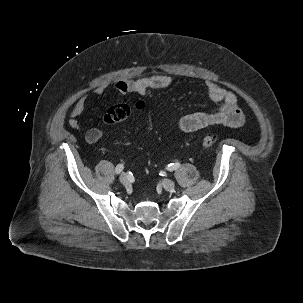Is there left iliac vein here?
<instances>
[{"label": "left iliac vein", "instance_id": "1", "mask_svg": "<svg viewBox=\"0 0 303 303\" xmlns=\"http://www.w3.org/2000/svg\"><path fill=\"white\" fill-rule=\"evenodd\" d=\"M162 186L167 191H172L175 188V182L171 179H164L162 181Z\"/></svg>", "mask_w": 303, "mask_h": 303}]
</instances>
